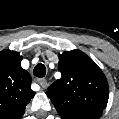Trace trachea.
I'll return each instance as SVG.
<instances>
[{"instance_id": "trachea-1", "label": "trachea", "mask_w": 119, "mask_h": 119, "mask_svg": "<svg viewBox=\"0 0 119 119\" xmlns=\"http://www.w3.org/2000/svg\"><path fill=\"white\" fill-rule=\"evenodd\" d=\"M46 73V68L43 64H38L33 71V74L37 77H44Z\"/></svg>"}]
</instances>
